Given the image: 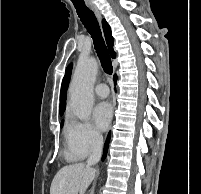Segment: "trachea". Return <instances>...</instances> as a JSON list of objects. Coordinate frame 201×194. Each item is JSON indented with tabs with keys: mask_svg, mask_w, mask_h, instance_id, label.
Listing matches in <instances>:
<instances>
[{
	"mask_svg": "<svg viewBox=\"0 0 201 194\" xmlns=\"http://www.w3.org/2000/svg\"><path fill=\"white\" fill-rule=\"evenodd\" d=\"M73 4L77 10V14L80 20L82 21L83 25L90 33L91 38L93 39L94 48L96 50L97 56L100 59L103 70L107 74H112L113 67L110 55L104 43V39L102 37L98 21L94 13L85 5L84 2H73Z\"/></svg>",
	"mask_w": 201,
	"mask_h": 194,
	"instance_id": "trachea-1",
	"label": "trachea"
}]
</instances>
